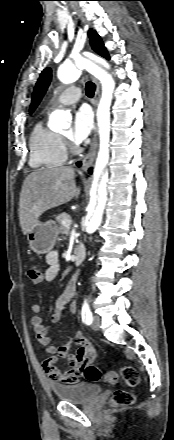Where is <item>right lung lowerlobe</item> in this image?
<instances>
[{
    "instance_id": "1",
    "label": "right lung lower lobe",
    "mask_w": 174,
    "mask_h": 440,
    "mask_svg": "<svg viewBox=\"0 0 174 440\" xmlns=\"http://www.w3.org/2000/svg\"><path fill=\"white\" fill-rule=\"evenodd\" d=\"M77 165H78V166H81V162H77ZM89 171H90V173H91V169H90Z\"/></svg>"
}]
</instances>
